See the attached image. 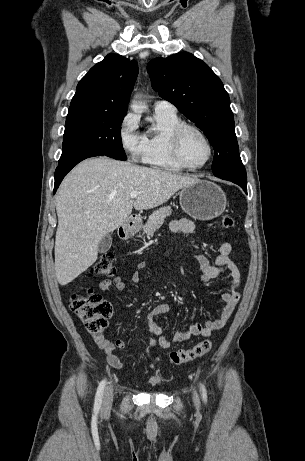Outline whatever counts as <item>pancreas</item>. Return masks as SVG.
<instances>
[{"instance_id": "1", "label": "pancreas", "mask_w": 305, "mask_h": 461, "mask_svg": "<svg viewBox=\"0 0 305 461\" xmlns=\"http://www.w3.org/2000/svg\"><path fill=\"white\" fill-rule=\"evenodd\" d=\"M172 213V209L170 206H164L159 208L158 210L154 211L148 218L146 224L143 227V233L150 237L152 236L155 231L160 228L163 224L164 220L170 216Z\"/></svg>"}]
</instances>
